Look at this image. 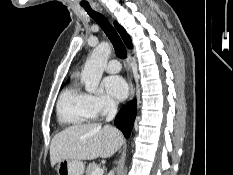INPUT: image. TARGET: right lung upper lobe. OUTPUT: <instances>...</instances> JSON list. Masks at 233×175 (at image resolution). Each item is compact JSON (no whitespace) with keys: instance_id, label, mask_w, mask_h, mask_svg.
<instances>
[{"instance_id":"1","label":"right lung upper lobe","mask_w":233,"mask_h":175,"mask_svg":"<svg viewBox=\"0 0 233 175\" xmlns=\"http://www.w3.org/2000/svg\"><path fill=\"white\" fill-rule=\"evenodd\" d=\"M114 26L117 29V31L119 32V34L121 35V37H122L124 43L126 44V46L131 49L132 48L131 38L127 34L125 29L121 25H119L117 22H114Z\"/></svg>"}]
</instances>
